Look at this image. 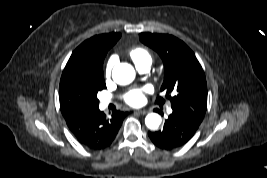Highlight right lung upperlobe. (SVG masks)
<instances>
[{
  "label": "right lung upper lobe",
  "instance_id": "obj_1",
  "mask_svg": "<svg viewBox=\"0 0 267 178\" xmlns=\"http://www.w3.org/2000/svg\"><path fill=\"white\" fill-rule=\"evenodd\" d=\"M120 37V33H109L97 35L84 41L72 53L63 73L83 68L103 72L105 55Z\"/></svg>",
  "mask_w": 267,
  "mask_h": 178
}]
</instances>
